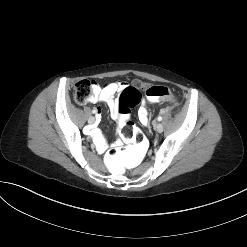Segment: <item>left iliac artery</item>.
<instances>
[{
    "label": "left iliac artery",
    "instance_id": "obj_1",
    "mask_svg": "<svg viewBox=\"0 0 247 247\" xmlns=\"http://www.w3.org/2000/svg\"><path fill=\"white\" fill-rule=\"evenodd\" d=\"M157 120H158V121H162V117L159 116V117L157 118Z\"/></svg>",
    "mask_w": 247,
    "mask_h": 247
}]
</instances>
